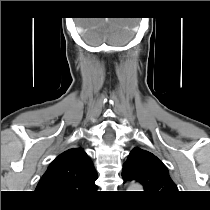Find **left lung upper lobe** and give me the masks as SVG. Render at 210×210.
<instances>
[{
    "instance_id": "1",
    "label": "left lung upper lobe",
    "mask_w": 210,
    "mask_h": 210,
    "mask_svg": "<svg viewBox=\"0 0 210 210\" xmlns=\"http://www.w3.org/2000/svg\"><path fill=\"white\" fill-rule=\"evenodd\" d=\"M124 180L141 183L145 193L154 196H167L177 192L167 167L152 153L135 147L123 166Z\"/></svg>"
}]
</instances>
